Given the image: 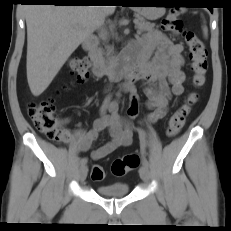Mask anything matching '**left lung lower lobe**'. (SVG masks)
<instances>
[{"instance_id": "1", "label": "left lung lower lobe", "mask_w": 231, "mask_h": 231, "mask_svg": "<svg viewBox=\"0 0 231 231\" xmlns=\"http://www.w3.org/2000/svg\"><path fill=\"white\" fill-rule=\"evenodd\" d=\"M208 9H209L211 12H213V8H212V7H208Z\"/></svg>"}]
</instances>
